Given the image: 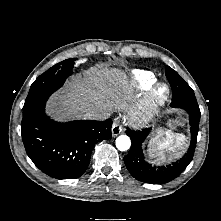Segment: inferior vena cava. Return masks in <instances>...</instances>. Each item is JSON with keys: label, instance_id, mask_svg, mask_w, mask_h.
I'll use <instances>...</instances> for the list:
<instances>
[{"label": "inferior vena cava", "instance_id": "inferior-vena-cava-1", "mask_svg": "<svg viewBox=\"0 0 221 221\" xmlns=\"http://www.w3.org/2000/svg\"><path fill=\"white\" fill-rule=\"evenodd\" d=\"M100 114L98 112H95V111H90L88 113V117H99Z\"/></svg>", "mask_w": 221, "mask_h": 221}]
</instances>
